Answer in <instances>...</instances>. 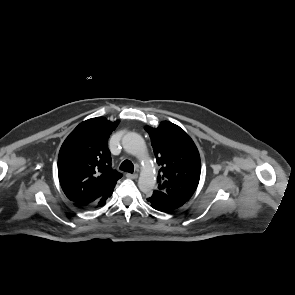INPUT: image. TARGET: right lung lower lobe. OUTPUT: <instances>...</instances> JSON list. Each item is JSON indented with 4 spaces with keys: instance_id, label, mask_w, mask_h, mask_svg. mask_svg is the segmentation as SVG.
<instances>
[{
    "instance_id": "right-lung-lower-lobe-1",
    "label": "right lung lower lobe",
    "mask_w": 295,
    "mask_h": 295,
    "mask_svg": "<svg viewBox=\"0 0 295 295\" xmlns=\"http://www.w3.org/2000/svg\"><path fill=\"white\" fill-rule=\"evenodd\" d=\"M114 187H112L109 191H107L103 196L98 198L96 201H94V202H92V203H90L88 205H83V206H85V207L93 206L95 208L99 207V206H104L105 203H106L107 198L111 196Z\"/></svg>"
}]
</instances>
